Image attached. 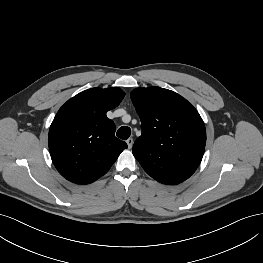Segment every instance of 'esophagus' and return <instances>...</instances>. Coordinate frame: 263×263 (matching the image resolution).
Segmentation results:
<instances>
[{"label":"esophagus","mask_w":263,"mask_h":263,"mask_svg":"<svg viewBox=\"0 0 263 263\" xmlns=\"http://www.w3.org/2000/svg\"><path fill=\"white\" fill-rule=\"evenodd\" d=\"M133 142H134V141H133L132 138H129V139L126 140V143H127L129 149L132 148V146H133Z\"/></svg>","instance_id":"34e87169"}]
</instances>
